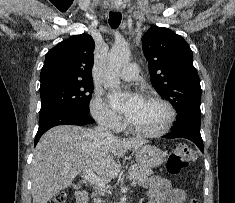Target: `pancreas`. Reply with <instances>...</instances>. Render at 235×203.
Here are the masks:
<instances>
[{"instance_id": "cf45deb5", "label": "pancreas", "mask_w": 235, "mask_h": 203, "mask_svg": "<svg viewBox=\"0 0 235 203\" xmlns=\"http://www.w3.org/2000/svg\"><path fill=\"white\" fill-rule=\"evenodd\" d=\"M153 174L151 168L141 166L139 164H134L129 168L128 177L135 180L139 185L144 184L148 176ZM95 203H100L99 199L95 200Z\"/></svg>"}]
</instances>
